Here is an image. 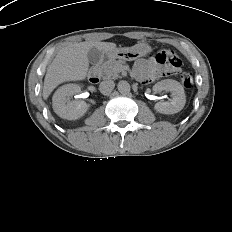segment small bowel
<instances>
[{
    "label": "small bowel",
    "instance_id": "small-bowel-1",
    "mask_svg": "<svg viewBox=\"0 0 232 232\" xmlns=\"http://www.w3.org/2000/svg\"><path fill=\"white\" fill-rule=\"evenodd\" d=\"M128 77L139 83L157 82L158 80H174L178 77L179 72L175 68L155 65L152 59H142L135 63L134 69L128 70Z\"/></svg>",
    "mask_w": 232,
    "mask_h": 232
}]
</instances>
